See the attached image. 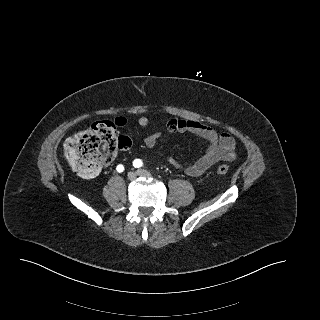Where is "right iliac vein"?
<instances>
[{
	"instance_id": "1",
	"label": "right iliac vein",
	"mask_w": 320,
	"mask_h": 320,
	"mask_svg": "<svg viewBox=\"0 0 320 320\" xmlns=\"http://www.w3.org/2000/svg\"><path fill=\"white\" fill-rule=\"evenodd\" d=\"M127 176L130 181H133L136 179L137 174L135 172H129Z\"/></svg>"
}]
</instances>
